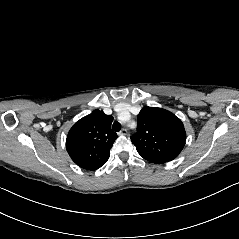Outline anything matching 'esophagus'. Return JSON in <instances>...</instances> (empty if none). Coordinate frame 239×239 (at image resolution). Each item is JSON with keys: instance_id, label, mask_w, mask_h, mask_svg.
Wrapping results in <instances>:
<instances>
[{"instance_id": "obj_1", "label": "esophagus", "mask_w": 239, "mask_h": 239, "mask_svg": "<svg viewBox=\"0 0 239 239\" xmlns=\"http://www.w3.org/2000/svg\"><path fill=\"white\" fill-rule=\"evenodd\" d=\"M120 135H127L128 134V130L126 128H123L120 132Z\"/></svg>"}]
</instances>
